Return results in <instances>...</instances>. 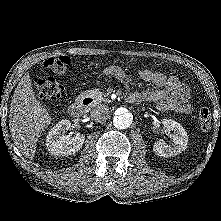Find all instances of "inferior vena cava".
<instances>
[{"instance_id": "602c4592", "label": "inferior vena cava", "mask_w": 221, "mask_h": 221, "mask_svg": "<svg viewBox=\"0 0 221 221\" xmlns=\"http://www.w3.org/2000/svg\"><path fill=\"white\" fill-rule=\"evenodd\" d=\"M90 113L91 117L97 122H105L110 117L109 108L104 104L97 105Z\"/></svg>"}]
</instances>
